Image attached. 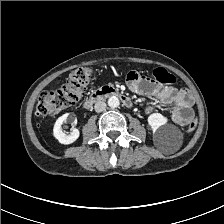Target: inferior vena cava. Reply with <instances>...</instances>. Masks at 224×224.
Masks as SVG:
<instances>
[{"label":"inferior vena cava","mask_w":224,"mask_h":224,"mask_svg":"<svg viewBox=\"0 0 224 224\" xmlns=\"http://www.w3.org/2000/svg\"><path fill=\"white\" fill-rule=\"evenodd\" d=\"M106 107H107V105L105 102L99 101V102H96L94 109L97 113H99V112L106 110Z\"/></svg>","instance_id":"1"}]
</instances>
